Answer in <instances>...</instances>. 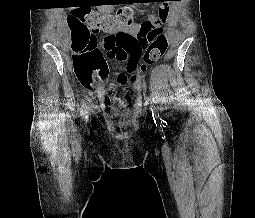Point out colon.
<instances>
[{
    "mask_svg": "<svg viewBox=\"0 0 255 218\" xmlns=\"http://www.w3.org/2000/svg\"><path fill=\"white\" fill-rule=\"evenodd\" d=\"M165 12H160L164 16ZM135 15L130 6L114 13H100L87 8L74 9L69 16L72 31L73 69L77 80L86 88L94 90L108 82L109 69L106 58L126 61V73L116 74L119 83L128 80L136 82L135 71L141 65L150 64L163 56L167 49V39L160 25L147 20L139 25L135 34L119 31L106 41V53L97 46L96 32L109 33L115 29L133 26Z\"/></svg>",
    "mask_w": 255,
    "mask_h": 218,
    "instance_id": "obj_1",
    "label": "colon"
}]
</instances>
